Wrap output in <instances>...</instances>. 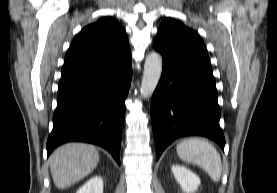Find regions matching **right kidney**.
I'll return each mask as SVG.
<instances>
[{
    "label": "right kidney",
    "mask_w": 277,
    "mask_h": 193,
    "mask_svg": "<svg viewBox=\"0 0 277 193\" xmlns=\"http://www.w3.org/2000/svg\"><path fill=\"white\" fill-rule=\"evenodd\" d=\"M76 193H103V180L100 176L89 179Z\"/></svg>",
    "instance_id": "obj_1"
}]
</instances>
